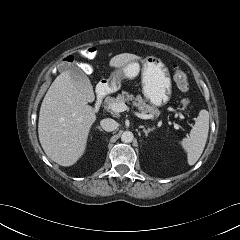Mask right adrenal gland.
Wrapping results in <instances>:
<instances>
[{"label":"right adrenal gland","instance_id":"1","mask_svg":"<svg viewBox=\"0 0 240 240\" xmlns=\"http://www.w3.org/2000/svg\"><path fill=\"white\" fill-rule=\"evenodd\" d=\"M96 128L103 132V129L100 126H97Z\"/></svg>","mask_w":240,"mask_h":240}]
</instances>
